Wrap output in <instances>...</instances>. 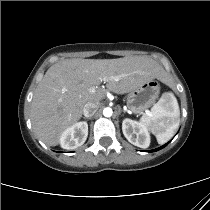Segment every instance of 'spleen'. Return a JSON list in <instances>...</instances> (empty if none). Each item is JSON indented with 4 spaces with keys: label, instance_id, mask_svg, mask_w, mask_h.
I'll use <instances>...</instances> for the list:
<instances>
[{
    "label": "spleen",
    "instance_id": "1",
    "mask_svg": "<svg viewBox=\"0 0 210 210\" xmlns=\"http://www.w3.org/2000/svg\"><path fill=\"white\" fill-rule=\"evenodd\" d=\"M179 121L180 110L177 99L173 93L165 92L140 123L156 136L159 144H164L174 136Z\"/></svg>",
    "mask_w": 210,
    "mask_h": 210
}]
</instances>
